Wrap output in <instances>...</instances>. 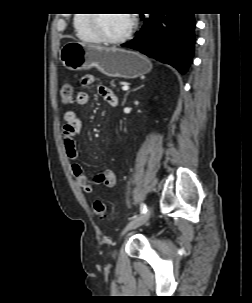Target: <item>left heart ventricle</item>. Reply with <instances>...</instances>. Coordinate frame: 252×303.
<instances>
[{
	"mask_svg": "<svg viewBox=\"0 0 252 303\" xmlns=\"http://www.w3.org/2000/svg\"><path fill=\"white\" fill-rule=\"evenodd\" d=\"M130 17L128 14H100L99 28L109 37L123 34L128 28Z\"/></svg>",
	"mask_w": 252,
	"mask_h": 303,
	"instance_id": "b2bd125f",
	"label": "left heart ventricle"
}]
</instances>
